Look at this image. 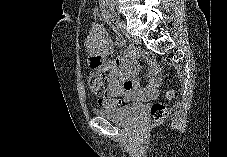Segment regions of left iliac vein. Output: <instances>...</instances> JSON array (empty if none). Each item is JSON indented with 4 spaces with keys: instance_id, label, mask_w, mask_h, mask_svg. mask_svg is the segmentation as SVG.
Masks as SVG:
<instances>
[{
    "instance_id": "4c4485c4",
    "label": "left iliac vein",
    "mask_w": 227,
    "mask_h": 157,
    "mask_svg": "<svg viewBox=\"0 0 227 157\" xmlns=\"http://www.w3.org/2000/svg\"><path fill=\"white\" fill-rule=\"evenodd\" d=\"M121 31L125 34V36L133 43V44H141V40L138 37L131 36L125 29V23L121 22Z\"/></svg>"
}]
</instances>
